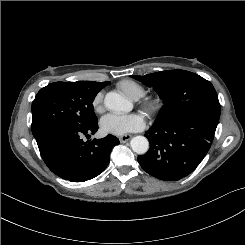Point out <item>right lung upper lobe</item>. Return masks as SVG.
Instances as JSON below:
<instances>
[{"label":"right lung upper lobe","instance_id":"1","mask_svg":"<svg viewBox=\"0 0 245 245\" xmlns=\"http://www.w3.org/2000/svg\"><path fill=\"white\" fill-rule=\"evenodd\" d=\"M86 82H89V81H86ZM89 83H94V84H97V85H100V86H104V87H105L106 85H108V84H107L108 82H102V83H99V82H89ZM104 87H103V88H104Z\"/></svg>","mask_w":245,"mask_h":245}]
</instances>
